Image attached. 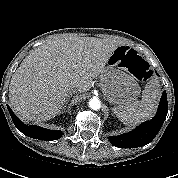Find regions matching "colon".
<instances>
[{
  "label": "colon",
  "mask_w": 178,
  "mask_h": 178,
  "mask_svg": "<svg viewBox=\"0 0 178 178\" xmlns=\"http://www.w3.org/2000/svg\"><path fill=\"white\" fill-rule=\"evenodd\" d=\"M130 71L139 80L146 81L150 78L149 65L143 60L135 61L132 64Z\"/></svg>",
  "instance_id": "1"
}]
</instances>
